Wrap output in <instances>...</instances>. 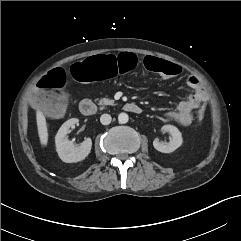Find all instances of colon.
I'll return each instance as SVG.
<instances>
[{"instance_id": "obj_1", "label": "colon", "mask_w": 241, "mask_h": 241, "mask_svg": "<svg viewBox=\"0 0 241 241\" xmlns=\"http://www.w3.org/2000/svg\"><path fill=\"white\" fill-rule=\"evenodd\" d=\"M140 64L136 55L130 51H113L91 56L73 63L69 68V77L75 83H92L110 77L124 76L134 72ZM143 64L159 76L175 79L180 75L179 65L155 57H147ZM66 81L62 69H55L44 76L37 85L34 104L52 116H59L65 103V97L58 93ZM56 91L55 93H49ZM205 108H201L198 119L203 120Z\"/></svg>"}]
</instances>
